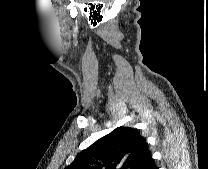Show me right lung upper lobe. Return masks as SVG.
<instances>
[{
    "label": "right lung upper lobe",
    "instance_id": "right-lung-upper-lobe-1",
    "mask_svg": "<svg viewBox=\"0 0 208 169\" xmlns=\"http://www.w3.org/2000/svg\"><path fill=\"white\" fill-rule=\"evenodd\" d=\"M151 160L146 139L121 126L80 152L65 169H144Z\"/></svg>",
    "mask_w": 208,
    "mask_h": 169
}]
</instances>
